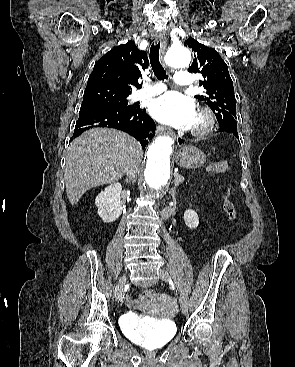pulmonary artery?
<instances>
[{"label":"pulmonary artery","instance_id":"1","mask_svg":"<svg viewBox=\"0 0 295 367\" xmlns=\"http://www.w3.org/2000/svg\"><path fill=\"white\" fill-rule=\"evenodd\" d=\"M175 83L180 86H190L192 84L191 74L187 71H179L175 74ZM166 90V86L163 83H157L155 85H149L143 89L137 91L133 95V99L136 101L145 100L156 95L161 94Z\"/></svg>","mask_w":295,"mask_h":367}]
</instances>
